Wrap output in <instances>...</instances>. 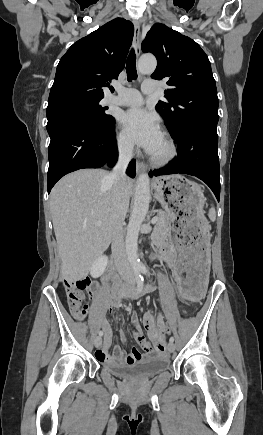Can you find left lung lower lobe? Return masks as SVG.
Instances as JSON below:
<instances>
[{"label": "left lung lower lobe", "mask_w": 263, "mask_h": 435, "mask_svg": "<svg viewBox=\"0 0 263 435\" xmlns=\"http://www.w3.org/2000/svg\"><path fill=\"white\" fill-rule=\"evenodd\" d=\"M217 124L185 125L173 138L179 147L178 156L163 169L149 172L150 177L168 174H189L204 181L220 197Z\"/></svg>", "instance_id": "obj_1"}]
</instances>
